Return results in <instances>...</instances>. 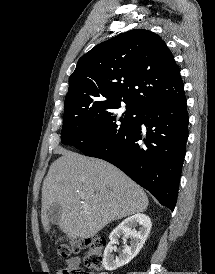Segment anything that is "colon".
<instances>
[{"label":"colon","instance_id":"obj_1","mask_svg":"<svg viewBox=\"0 0 215 274\" xmlns=\"http://www.w3.org/2000/svg\"><path fill=\"white\" fill-rule=\"evenodd\" d=\"M106 246V241L103 237L95 236L86 240H77L68 242L62 240L58 246V252L61 256L67 257L73 252H78L83 248H88L85 263L86 266L94 271H99L103 267V252ZM75 274H94L84 270L72 272Z\"/></svg>","mask_w":215,"mask_h":274}]
</instances>
